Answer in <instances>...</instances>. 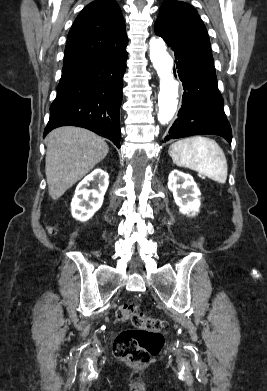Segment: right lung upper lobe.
Here are the masks:
<instances>
[{
  "mask_svg": "<svg viewBox=\"0 0 267 391\" xmlns=\"http://www.w3.org/2000/svg\"><path fill=\"white\" fill-rule=\"evenodd\" d=\"M127 42L125 23L116 1H93L80 12L69 31L62 70L119 51Z\"/></svg>",
  "mask_w": 267,
  "mask_h": 391,
  "instance_id": "right-lung-upper-lobe-1",
  "label": "right lung upper lobe"
}]
</instances>
